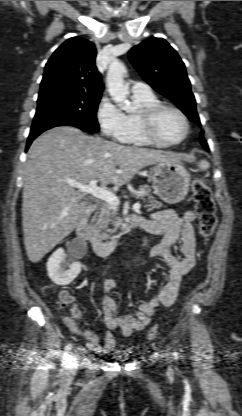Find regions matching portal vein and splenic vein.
<instances>
[{
	"mask_svg": "<svg viewBox=\"0 0 242 416\" xmlns=\"http://www.w3.org/2000/svg\"><path fill=\"white\" fill-rule=\"evenodd\" d=\"M97 181L92 180L89 182V184H82V183H77V182H69V185L76 187L79 189L80 192L82 193H88L98 199H101L103 201H105L106 203L113 205L114 207L119 206L120 201L118 199V197L106 190L105 188H101L97 186ZM138 195H141L142 192H136ZM141 204L140 203H135L133 205V209L134 210H138L140 209Z\"/></svg>",
	"mask_w": 242,
	"mask_h": 416,
	"instance_id": "obj_1",
	"label": "portal vein and splenic vein"
}]
</instances>
